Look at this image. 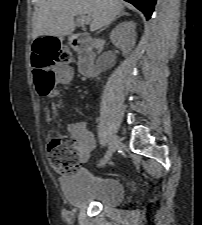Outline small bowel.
<instances>
[{"label": "small bowel", "instance_id": "c3829d8e", "mask_svg": "<svg viewBox=\"0 0 202 225\" xmlns=\"http://www.w3.org/2000/svg\"><path fill=\"white\" fill-rule=\"evenodd\" d=\"M60 70L64 72L66 80L71 79V66H63ZM68 132L77 145L78 160L81 163L88 162L96 142L92 132L87 128V123L84 121L71 123L68 125Z\"/></svg>", "mask_w": 202, "mask_h": 225}]
</instances>
